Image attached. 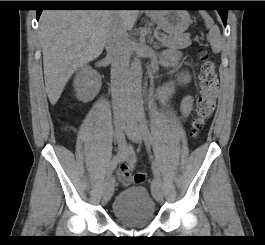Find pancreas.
<instances>
[{"label":"pancreas","mask_w":265,"mask_h":245,"mask_svg":"<svg viewBox=\"0 0 265 245\" xmlns=\"http://www.w3.org/2000/svg\"><path fill=\"white\" fill-rule=\"evenodd\" d=\"M166 39L165 43H162L163 46H166L170 49H184L191 45V40L189 35H178V36H166L163 35Z\"/></svg>","instance_id":"obj_1"}]
</instances>
